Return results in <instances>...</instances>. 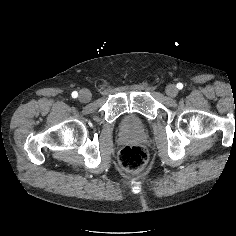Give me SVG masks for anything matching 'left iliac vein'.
<instances>
[{
  "mask_svg": "<svg viewBox=\"0 0 236 236\" xmlns=\"http://www.w3.org/2000/svg\"><path fill=\"white\" fill-rule=\"evenodd\" d=\"M166 94L169 97H176L178 95V89L174 84H170L166 87Z\"/></svg>",
  "mask_w": 236,
  "mask_h": 236,
  "instance_id": "4c4485c4",
  "label": "left iliac vein"
}]
</instances>
